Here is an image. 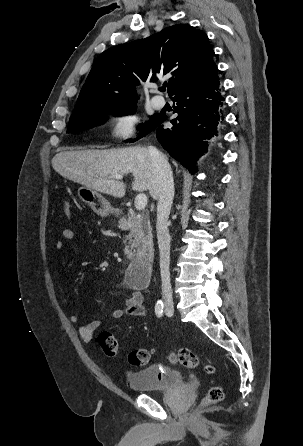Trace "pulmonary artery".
I'll list each match as a JSON object with an SVG mask.
<instances>
[{"label": "pulmonary artery", "mask_w": 303, "mask_h": 446, "mask_svg": "<svg viewBox=\"0 0 303 446\" xmlns=\"http://www.w3.org/2000/svg\"><path fill=\"white\" fill-rule=\"evenodd\" d=\"M151 102H152L153 107L156 109H160V108L164 107V105H165L164 98L159 95L154 96L152 98Z\"/></svg>", "instance_id": "1"}]
</instances>
